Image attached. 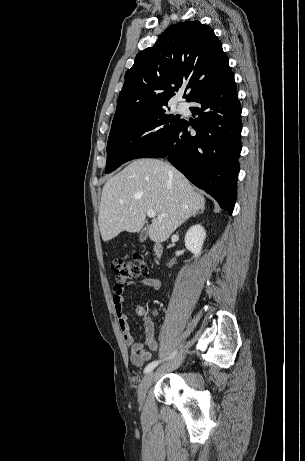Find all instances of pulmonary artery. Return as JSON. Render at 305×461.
I'll use <instances>...</instances> for the list:
<instances>
[{"mask_svg": "<svg viewBox=\"0 0 305 461\" xmlns=\"http://www.w3.org/2000/svg\"><path fill=\"white\" fill-rule=\"evenodd\" d=\"M178 107H179V109H183V108L185 107V104L180 103V104L178 105Z\"/></svg>", "mask_w": 305, "mask_h": 461, "instance_id": "pulmonary-artery-1", "label": "pulmonary artery"}]
</instances>
